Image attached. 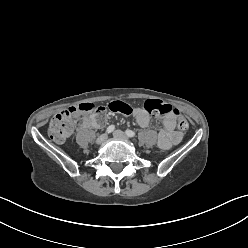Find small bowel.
I'll list each match as a JSON object with an SVG mask.
<instances>
[{
  "label": "small bowel",
  "instance_id": "c3829d8e",
  "mask_svg": "<svg viewBox=\"0 0 248 248\" xmlns=\"http://www.w3.org/2000/svg\"><path fill=\"white\" fill-rule=\"evenodd\" d=\"M137 123L141 127H148L150 124V117L148 113L142 108H135L133 111ZM92 124L91 122H89ZM163 128L158 132V145L161 149L168 150L172 146L179 143L181 135L174 131L176 124V115L173 113L166 114L163 119Z\"/></svg>",
  "mask_w": 248,
  "mask_h": 248
}]
</instances>
